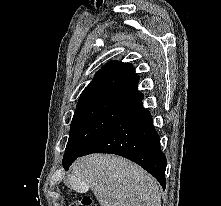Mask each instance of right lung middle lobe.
I'll list each match as a JSON object with an SVG mask.
<instances>
[{"instance_id": "right-lung-middle-lobe-1", "label": "right lung middle lobe", "mask_w": 221, "mask_h": 206, "mask_svg": "<svg viewBox=\"0 0 221 206\" xmlns=\"http://www.w3.org/2000/svg\"><path fill=\"white\" fill-rule=\"evenodd\" d=\"M127 108L117 106H89L76 109L70 127L63 164L76 159L83 150Z\"/></svg>"}]
</instances>
